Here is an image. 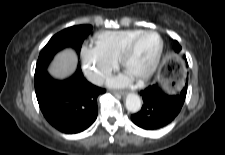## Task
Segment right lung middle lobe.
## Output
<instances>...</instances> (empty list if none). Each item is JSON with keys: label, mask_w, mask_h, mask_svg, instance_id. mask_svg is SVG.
I'll use <instances>...</instances> for the list:
<instances>
[{"label": "right lung middle lobe", "mask_w": 225, "mask_h": 155, "mask_svg": "<svg viewBox=\"0 0 225 155\" xmlns=\"http://www.w3.org/2000/svg\"><path fill=\"white\" fill-rule=\"evenodd\" d=\"M91 31L92 26L79 25L69 27L54 35L40 52L35 75H38L42 70L47 68L54 55L65 47L71 46L75 48L79 55L82 43Z\"/></svg>", "instance_id": "right-lung-middle-lobe-1"}]
</instances>
